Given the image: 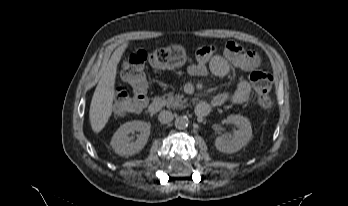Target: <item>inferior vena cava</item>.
<instances>
[{"instance_id":"1","label":"inferior vena cava","mask_w":348,"mask_h":206,"mask_svg":"<svg viewBox=\"0 0 348 206\" xmlns=\"http://www.w3.org/2000/svg\"><path fill=\"white\" fill-rule=\"evenodd\" d=\"M174 116L172 114L171 111L168 110H163L159 113L158 115V120L162 123V124H168L173 120Z\"/></svg>"}]
</instances>
